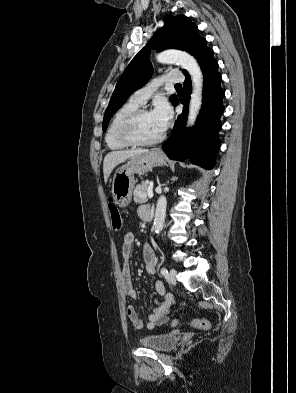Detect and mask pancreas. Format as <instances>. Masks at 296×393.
I'll return each mask as SVG.
<instances>
[{"mask_svg": "<svg viewBox=\"0 0 296 393\" xmlns=\"http://www.w3.org/2000/svg\"><path fill=\"white\" fill-rule=\"evenodd\" d=\"M148 183L142 182L134 190V202L138 204L145 203L148 199Z\"/></svg>", "mask_w": 296, "mask_h": 393, "instance_id": "1", "label": "pancreas"}]
</instances>
